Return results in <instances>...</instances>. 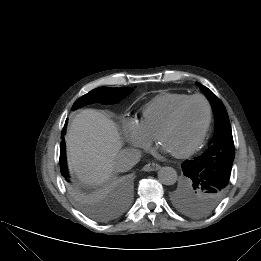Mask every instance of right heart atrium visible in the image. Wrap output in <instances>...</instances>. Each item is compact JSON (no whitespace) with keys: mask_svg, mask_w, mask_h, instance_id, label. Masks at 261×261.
Here are the masks:
<instances>
[{"mask_svg":"<svg viewBox=\"0 0 261 261\" xmlns=\"http://www.w3.org/2000/svg\"><path fill=\"white\" fill-rule=\"evenodd\" d=\"M124 130L127 140L134 146L141 149H148L151 146L153 138L143 132L138 123L128 120L124 124Z\"/></svg>","mask_w":261,"mask_h":261,"instance_id":"obj_1","label":"right heart atrium"}]
</instances>
